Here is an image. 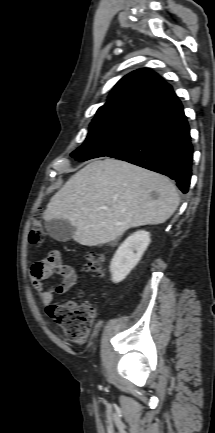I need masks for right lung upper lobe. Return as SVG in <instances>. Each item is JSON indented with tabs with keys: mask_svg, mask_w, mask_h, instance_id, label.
<instances>
[{
	"mask_svg": "<svg viewBox=\"0 0 215 433\" xmlns=\"http://www.w3.org/2000/svg\"><path fill=\"white\" fill-rule=\"evenodd\" d=\"M172 87L149 69L135 70L124 76L100 107L93 122L119 117H145L174 101Z\"/></svg>",
	"mask_w": 215,
	"mask_h": 433,
	"instance_id": "1",
	"label": "right lung upper lobe"
}]
</instances>
